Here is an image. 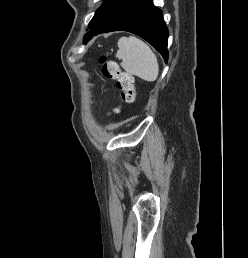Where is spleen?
Masks as SVG:
<instances>
[{
	"label": "spleen",
	"mask_w": 248,
	"mask_h": 258,
	"mask_svg": "<svg viewBox=\"0 0 248 258\" xmlns=\"http://www.w3.org/2000/svg\"><path fill=\"white\" fill-rule=\"evenodd\" d=\"M116 57L121 67L131 75L145 81L153 82L157 79L159 65L156 55L142 40L134 36L121 37L118 41Z\"/></svg>",
	"instance_id": "3e777b00"
}]
</instances>
